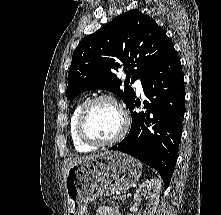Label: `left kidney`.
Segmentation results:
<instances>
[{
	"label": "left kidney",
	"instance_id": "left-kidney-1",
	"mask_svg": "<svg viewBox=\"0 0 221 215\" xmlns=\"http://www.w3.org/2000/svg\"><path fill=\"white\" fill-rule=\"evenodd\" d=\"M161 181L157 178H152L143 182L137 189L134 195L135 203H140L142 197H149L144 215H154L159 204L161 192Z\"/></svg>",
	"mask_w": 221,
	"mask_h": 215
}]
</instances>
